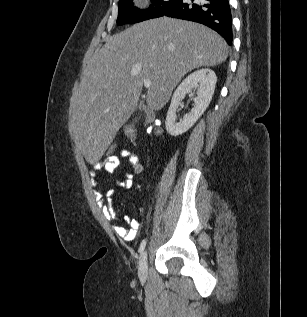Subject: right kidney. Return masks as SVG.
Here are the masks:
<instances>
[{
	"label": "right kidney",
	"mask_w": 307,
	"mask_h": 317,
	"mask_svg": "<svg viewBox=\"0 0 307 317\" xmlns=\"http://www.w3.org/2000/svg\"><path fill=\"white\" fill-rule=\"evenodd\" d=\"M217 77L211 69H200L191 73L175 90L166 117V130L172 136H178L189 130L204 113L212 99ZM196 90L194 107L177 120L176 111L187 93Z\"/></svg>",
	"instance_id": "obj_1"
}]
</instances>
